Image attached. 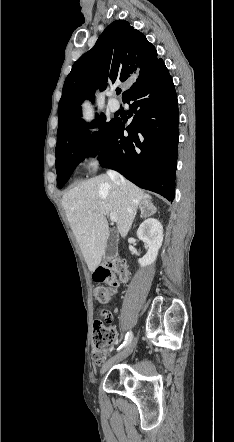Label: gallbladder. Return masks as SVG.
Instances as JSON below:
<instances>
[{
	"instance_id": "bac80fb5",
	"label": "gallbladder",
	"mask_w": 234,
	"mask_h": 442,
	"mask_svg": "<svg viewBox=\"0 0 234 442\" xmlns=\"http://www.w3.org/2000/svg\"><path fill=\"white\" fill-rule=\"evenodd\" d=\"M116 250V241H115V235H114V231H111V234L109 236L108 242H107V246L105 249V256L107 258H111L113 257L114 253Z\"/></svg>"
}]
</instances>
